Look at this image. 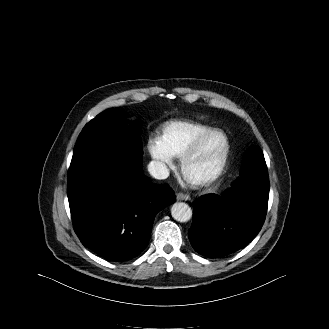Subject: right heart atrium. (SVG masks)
Returning a JSON list of instances; mask_svg holds the SVG:
<instances>
[{"mask_svg": "<svg viewBox=\"0 0 329 329\" xmlns=\"http://www.w3.org/2000/svg\"><path fill=\"white\" fill-rule=\"evenodd\" d=\"M148 151L151 157L162 168L167 169L173 163V157L170 153L161 145L159 140L151 139L148 142Z\"/></svg>", "mask_w": 329, "mask_h": 329, "instance_id": "right-heart-atrium-1", "label": "right heart atrium"}]
</instances>
